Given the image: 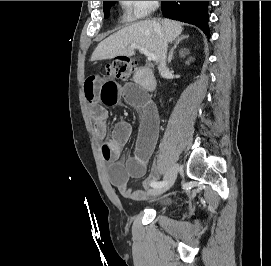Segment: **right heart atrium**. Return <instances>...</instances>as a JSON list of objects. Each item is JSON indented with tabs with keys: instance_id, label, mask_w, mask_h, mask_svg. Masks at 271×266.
Wrapping results in <instances>:
<instances>
[{
	"instance_id": "obj_1",
	"label": "right heart atrium",
	"mask_w": 271,
	"mask_h": 266,
	"mask_svg": "<svg viewBox=\"0 0 271 266\" xmlns=\"http://www.w3.org/2000/svg\"><path fill=\"white\" fill-rule=\"evenodd\" d=\"M125 17L131 21H140L152 13L157 5L158 1H120Z\"/></svg>"
}]
</instances>
